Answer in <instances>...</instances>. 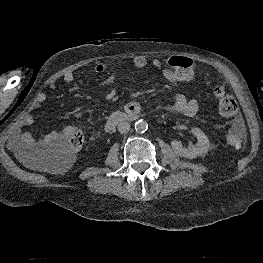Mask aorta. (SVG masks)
Returning a JSON list of instances; mask_svg holds the SVG:
<instances>
[{
  "mask_svg": "<svg viewBox=\"0 0 263 263\" xmlns=\"http://www.w3.org/2000/svg\"><path fill=\"white\" fill-rule=\"evenodd\" d=\"M134 127L137 132H145L148 129V123L145 120L140 119L135 122Z\"/></svg>",
  "mask_w": 263,
  "mask_h": 263,
  "instance_id": "762f6f07",
  "label": "aorta"
}]
</instances>
